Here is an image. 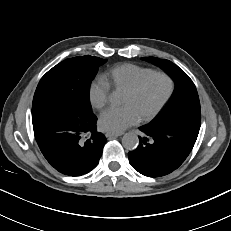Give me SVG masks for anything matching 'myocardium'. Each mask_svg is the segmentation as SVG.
I'll return each mask as SVG.
<instances>
[{
    "label": "myocardium",
    "instance_id": "f54148a6",
    "mask_svg": "<svg viewBox=\"0 0 231 231\" xmlns=\"http://www.w3.org/2000/svg\"><path fill=\"white\" fill-rule=\"evenodd\" d=\"M154 76H163L165 77L168 82H169V89L168 92L166 94V96L164 97V99L160 102V104L153 109L151 112L143 115L140 117V119L142 121H149L151 119H153L157 114L160 113V111L166 106V104L169 102V100L171 99L174 90H175V82L174 79L172 78V76L170 74H168L167 72L164 71H152L149 74L143 76L142 78H140L135 84H133L130 88H128L126 90L127 93L130 94H135L137 93L142 86L152 77Z\"/></svg>",
    "mask_w": 231,
    "mask_h": 231
}]
</instances>
